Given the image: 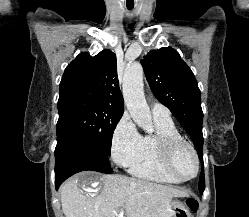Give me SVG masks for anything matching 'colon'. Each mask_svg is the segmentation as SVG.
Listing matches in <instances>:
<instances>
[{
  "mask_svg": "<svg viewBox=\"0 0 249 217\" xmlns=\"http://www.w3.org/2000/svg\"><path fill=\"white\" fill-rule=\"evenodd\" d=\"M185 206L189 210L196 212L199 208V201L196 197H189L185 200Z\"/></svg>",
  "mask_w": 249,
  "mask_h": 217,
  "instance_id": "5ec220e1",
  "label": "colon"
}]
</instances>
